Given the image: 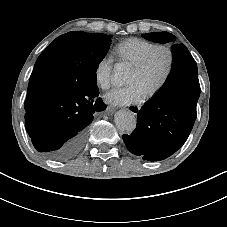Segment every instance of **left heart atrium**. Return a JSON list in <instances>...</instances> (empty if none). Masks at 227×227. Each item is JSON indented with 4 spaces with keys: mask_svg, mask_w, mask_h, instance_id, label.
<instances>
[{
    "mask_svg": "<svg viewBox=\"0 0 227 227\" xmlns=\"http://www.w3.org/2000/svg\"><path fill=\"white\" fill-rule=\"evenodd\" d=\"M147 92L138 84H130L124 88L113 89L105 94L104 99L110 106H127L141 103Z\"/></svg>",
    "mask_w": 227,
    "mask_h": 227,
    "instance_id": "39dd6f15",
    "label": "left heart atrium"
}]
</instances>
